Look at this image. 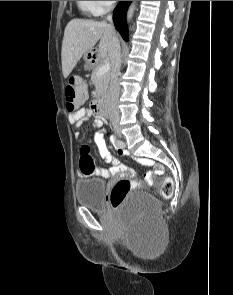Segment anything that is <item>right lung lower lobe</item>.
Instances as JSON below:
<instances>
[{
    "instance_id": "98d812e1",
    "label": "right lung lower lobe",
    "mask_w": 233,
    "mask_h": 295,
    "mask_svg": "<svg viewBox=\"0 0 233 295\" xmlns=\"http://www.w3.org/2000/svg\"><path fill=\"white\" fill-rule=\"evenodd\" d=\"M131 1H121L113 11L114 24L124 40H128L126 11Z\"/></svg>"
}]
</instances>
